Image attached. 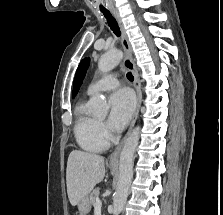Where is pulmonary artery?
<instances>
[{
	"label": "pulmonary artery",
	"mask_w": 223,
	"mask_h": 215,
	"mask_svg": "<svg viewBox=\"0 0 223 215\" xmlns=\"http://www.w3.org/2000/svg\"><path fill=\"white\" fill-rule=\"evenodd\" d=\"M119 74L117 72H111L100 79L92 82L87 88L88 95H94L101 91H107L115 89L119 86Z\"/></svg>",
	"instance_id": "pulmonary-artery-1"
}]
</instances>
